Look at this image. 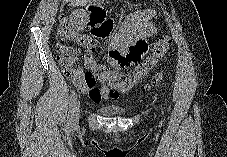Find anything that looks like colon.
Wrapping results in <instances>:
<instances>
[{"label": "colon", "mask_w": 227, "mask_h": 157, "mask_svg": "<svg viewBox=\"0 0 227 157\" xmlns=\"http://www.w3.org/2000/svg\"><path fill=\"white\" fill-rule=\"evenodd\" d=\"M89 16H105L100 9H90ZM97 26V25H93ZM107 32H93L91 34L77 31L66 18H62L58 26V35L62 40L77 43L82 47L81 59L86 70L85 77L90 84L105 82L118 92H125L132 87L135 77L146 76L162 59L170 49L171 39L167 36L156 40L152 53L142 62L138 63L135 70L131 73L114 72L105 65L98 63L94 56L97 39L108 35ZM57 60L61 65L66 76L75 81L76 71L79 69V56L75 47L61 42L56 44ZM141 59V58H140ZM132 64L135 62H124ZM161 75H156L152 81L146 85L145 90H150L159 85Z\"/></svg>", "instance_id": "colon-1"}]
</instances>
